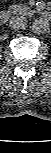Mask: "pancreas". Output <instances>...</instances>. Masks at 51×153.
Returning <instances> with one entry per match:
<instances>
[{"mask_svg":"<svg viewBox=\"0 0 51 153\" xmlns=\"http://www.w3.org/2000/svg\"><path fill=\"white\" fill-rule=\"evenodd\" d=\"M9 10H11V13L13 14H23V15H27L31 12L28 6L18 5V4L11 5Z\"/></svg>","mask_w":51,"mask_h":153,"instance_id":"obj_1","label":"pancreas"}]
</instances>
